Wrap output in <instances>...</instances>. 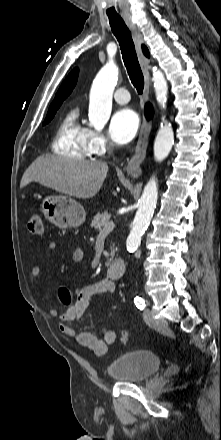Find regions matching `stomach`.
<instances>
[{
	"mask_svg": "<svg viewBox=\"0 0 221 440\" xmlns=\"http://www.w3.org/2000/svg\"><path fill=\"white\" fill-rule=\"evenodd\" d=\"M41 210L44 216L59 228H75L86 218L84 207L64 195H51L44 198Z\"/></svg>",
	"mask_w": 221,
	"mask_h": 440,
	"instance_id": "obj_1",
	"label": "stomach"
}]
</instances>
